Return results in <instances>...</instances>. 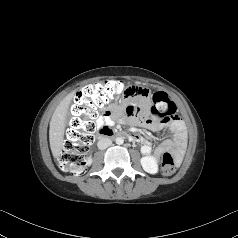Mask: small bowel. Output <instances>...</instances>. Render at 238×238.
Here are the masks:
<instances>
[{
    "instance_id": "c3829d8e",
    "label": "small bowel",
    "mask_w": 238,
    "mask_h": 238,
    "mask_svg": "<svg viewBox=\"0 0 238 238\" xmlns=\"http://www.w3.org/2000/svg\"><path fill=\"white\" fill-rule=\"evenodd\" d=\"M138 104H135V103ZM148 93L143 88H134L131 90V99L124 102V108L122 113L124 118L120 119V122L125 124H131L134 126H140L151 130L153 132H159L164 127L168 126L173 133L172 138L166 139L161 142L155 149V156L159 157L165 152H173L177 157H180L183 153L187 134L184 123L179 118H174L168 123L157 122L150 119L147 116L148 110ZM95 123L99 129L103 127H109L114 124V109H104L100 115L95 119ZM138 141L141 144V151L144 155H149L152 151L151 143L140 135Z\"/></svg>"
}]
</instances>
